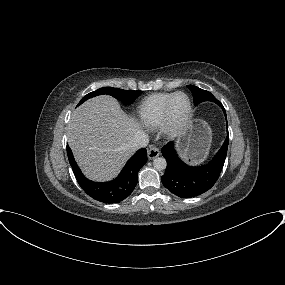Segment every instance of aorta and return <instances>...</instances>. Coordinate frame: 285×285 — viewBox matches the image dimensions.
Instances as JSON below:
<instances>
[{"mask_svg": "<svg viewBox=\"0 0 285 285\" xmlns=\"http://www.w3.org/2000/svg\"><path fill=\"white\" fill-rule=\"evenodd\" d=\"M153 166L156 170L162 171L166 168L167 162L163 157H157L153 160Z\"/></svg>", "mask_w": 285, "mask_h": 285, "instance_id": "aorta-1", "label": "aorta"}]
</instances>
